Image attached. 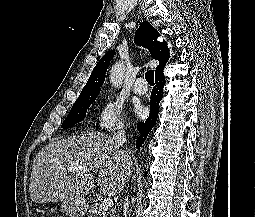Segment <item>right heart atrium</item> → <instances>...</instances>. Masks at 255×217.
Segmentation results:
<instances>
[{"label": "right heart atrium", "mask_w": 255, "mask_h": 217, "mask_svg": "<svg viewBox=\"0 0 255 217\" xmlns=\"http://www.w3.org/2000/svg\"><path fill=\"white\" fill-rule=\"evenodd\" d=\"M94 129L99 132L115 133L124 128V107L116 99H106L97 109L94 122Z\"/></svg>", "instance_id": "obj_1"}]
</instances>
